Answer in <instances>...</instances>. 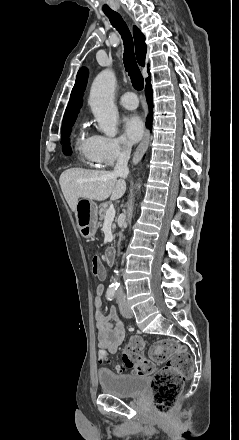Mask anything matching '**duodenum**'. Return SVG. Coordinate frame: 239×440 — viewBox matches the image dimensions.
I'll use <instances>...</instances> for the list:
<instances>
[{
    "mask_svg": "<svg viewBox=\"0 0 239 440\" xmlns=\"http://www.w3.org/2000/svg\"><path fill=\"white\" fill-rule=\"evenodd\" d=\"M106 261L108 264H112L114 262L115 251L113 248H108L105 253Z\"/></svg>",
    "mask_w": 239,
    "mask_h": 440,
    "instance_id": "obj_1",
    "label": "duodenum"
}]
</instances>
